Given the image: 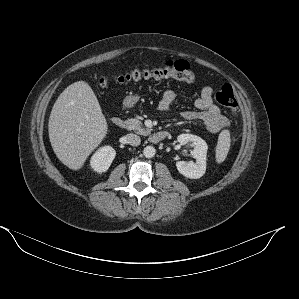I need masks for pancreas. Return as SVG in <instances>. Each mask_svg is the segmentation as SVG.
I'll use <instances>...</instances> for the list:
<instances>
[{"label": "pancreas", "mask_w": 299, "mask_h": 299, "mask_svg": "<svg viewBox=\"0 0 299 299\" xmlns=\"http://www.w3.org/2000/svg\"><path fill=\"white\" fill-rule=\"evenodd\" d=\"M125 128L127 130H134L140 135H149L152 131L150 128H144L138 118H129L125 121Z\"/></svg>", "instance_id": "cf45deb5"}]
</instances>
